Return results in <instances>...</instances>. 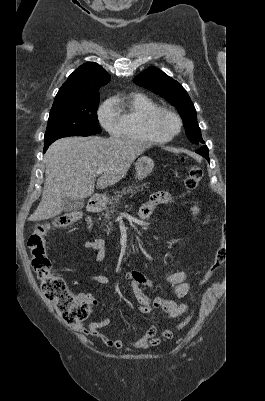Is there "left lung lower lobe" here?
Wrapping results in <instances>:
<instances>
[{
  "mask_svg": "<svg viewBox=\"0 0 265 401\" xmlns=\"http://www.w3.org/2000/svg\"><path fill=\"white\" fill-rule=\"evenodd\" d=\"M196 152L199 153L200 155L204 156L209 161L207 146H203L201 149L197 150Z\"/></svg>",
  "mask_w": 265,
  "mask_h": 401,
  "instance_id": "obj_1",
  "label": "left lung lower lobe"
}]
</instances>
